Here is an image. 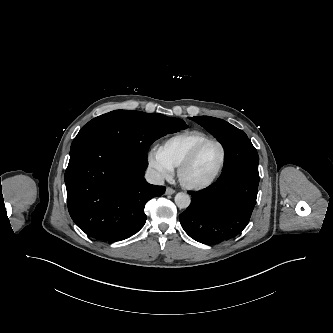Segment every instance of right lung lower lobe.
I'll list each match as a JSON object with an SVG mask.
<instances>
[{
    "label": "right lung lower lobe",
    "instance_id": "obj_1",
    "mask_svg": "<svg viewBox=\"0 0 333 333\" xmlns=\"http://www.w3.org/2000/svg\"><path fill=\"white\" fill-rule=\"evenodd\" d=\"M148 162L96 140L71 146L65 172L67 205L75 224L87 235L104 241H121L145 224L146 202L165 192L148 184Z\"/></svg>",
    "mask_w": 333,
    "mask_h": 333
}]
</instances>
